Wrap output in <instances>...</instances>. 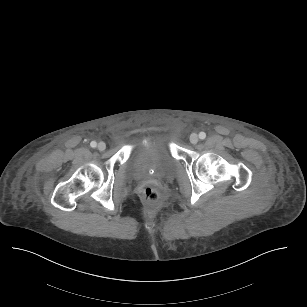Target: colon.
<instances>
[{"label":"colon","instance_id":"5ec220e1","mask_svg":"<svg viewBox=\"0 0 307 307\" xmlns=\"http://www.w3.org/2000/svg\"><path fill=\"white\" fill-rule=\"evenodd\" d=\"M141 198L146 203H152L157 199V193L152 188H146L142 191Z\"/></svg>","mask_w":307,"mask_h":307}]
</instances>
